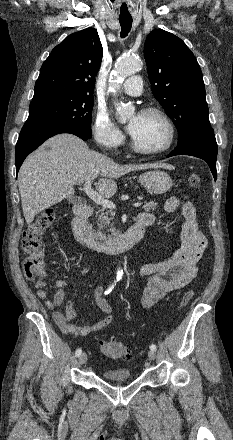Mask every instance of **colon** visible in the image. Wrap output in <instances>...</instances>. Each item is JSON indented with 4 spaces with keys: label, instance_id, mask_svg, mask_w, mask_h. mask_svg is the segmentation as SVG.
Instances as JSON below:
<instances>
[{
    "label": "colon",
    "instance_id": "1",
    "mask_svg": "<svg viewBox=\"0 0 233 440\" xmlns=\"http://www.w3.org/2000/svg\"><path fill=\"white\" fill-rule=\"evenodd\" d=\"M188 182L191 187H199L201 183L200 176L192 174ZM55 219V210L52 208L45 209L23 233L22 249L25 254L23 271L30 280L44 276L45 245L42 236ZM193 295L194 292L192 290L185 292L181 297L179 308L181 309L186 306L193 298ZM97 344L101 352L109 358L131 359L133 356V351L120 341L98 339Z\"/></svg>",
    "mask_w": 233,
    "mask_h": 440
}]
</instances>
